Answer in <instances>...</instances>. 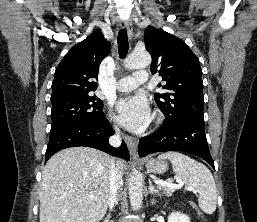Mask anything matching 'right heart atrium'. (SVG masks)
<instances>
[{
  "mask_svg": "<svg viewBox=\"0 0 257 222\" xmlns=\"http://www.w3.org/2000/svg\"><path fill=\"white\" fill-rule=\"evenodd\" d=\"M109 118H110L113 130L115 132H119L117 119L112 114L109 115Z\"/></svg>",
  "mask_w": 257,
  "mask_h": 222,
  "instance_id": "right-heart-atrium-1",
  "label": "right heart atrium"
}]
</instances>
